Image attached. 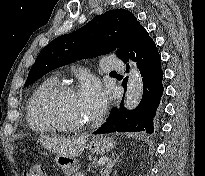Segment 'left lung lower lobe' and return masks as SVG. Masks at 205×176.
I'll return each mask as SVG.
<instances>
[{"mask_svg":"<svg viewBox=\"0 0 205 176\" xmlns=\"http://www.w3.org/2000/svg\"><path fill=\"white\" fill-rule=\"evenodd\" d=\"M131 58L137 63L143 81V96L139 105L133 110L123 106V100L118 107L111 110L110 116L94 134L110 132H154L153 119L163 94V71L161 56L156 44L144 27L140 26L135 32L127 49L120 58L125 63ZM129 65L127 64V69ZM123 85L126 86L125 80Z\"/></svg>","mask_w":205,"mask_h":176,"instance_id":"left-lung-lower-lobe-1","label":"left lung lower lobe"}]
</instances>
